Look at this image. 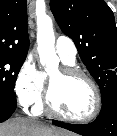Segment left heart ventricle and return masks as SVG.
Returning <instances> with one entry per match:
<instances>
[{"instance_id":"left-heart-ventricle-1","label":"left heart ventricle","mask_w":117,"mask_h":136,"mask_svg":"<svg viewBox=\"0 0 117 136\" xmlns=\"http://www.w3.org/2000/svg\"><path fill=\"white\" fill-rule=\"evenodd\" d=\"M54 81L52 101L55 107L71 117H86L94 108V93L82 78L62 79L60 70L51 74Z\"/></svg>"}]
</instances>
